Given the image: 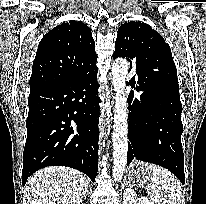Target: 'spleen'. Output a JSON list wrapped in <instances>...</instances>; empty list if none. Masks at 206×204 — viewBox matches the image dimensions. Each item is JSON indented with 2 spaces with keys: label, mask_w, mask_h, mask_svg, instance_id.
I'll use <instances>...</instances> for the list:
<instances>
[{
  "label": "spleen",
  "mask_w": 206,
  "mask_h": 204,
  "mask_svg": "<svg viewBox=\"0 0 206 204\" xmlns=\"http://www.w3.org/2000/svg\"><path fill=\"white\" fill-rule=\"evenodd\" d=\"M150 183H145L147 193L156 204H180L181 186L167 169L150 164Z\"/></svg>",
  "instance_id": "3e777b00"
}]
</instances>
